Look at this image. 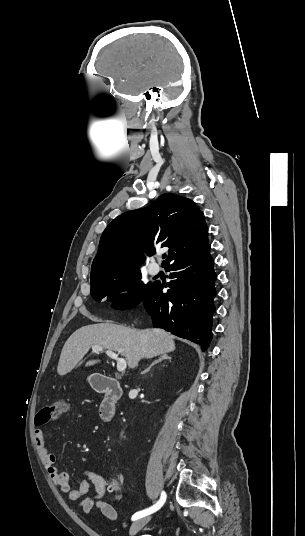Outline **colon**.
<instances>
[{"label":"colon","instance_id":"5ec220e1","mask_svg":"<svg viewBox=\"0 0 305 536\" xmlns=\"http://www.w3.org/2000/svg\"><path fill=\"white\" fill-rule=\"evenodd\" d=\"M69 406V403L65 400H57L50 405L44 407L42 411H37L36 417L33 419V424L37 427L46 425L51 422L55 415L63 414ZM106 480V477H103ZM116 477H112L110 483H113ZM115 501L120 502L123 498L122 485L119 482L114 483Z\"/></svg>","mask_w":305,"mask_h":536}]
</instances>
